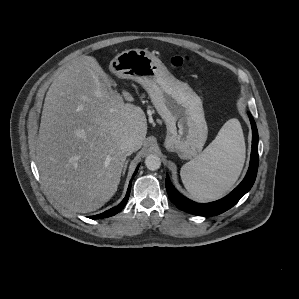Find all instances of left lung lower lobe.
<instances>
[{
	"label": "left lung lower lobe",
	"mask_w": 299,
	"mask_h": 299,
	"mask_svg": "<svg viewBox=\"0 0 299 299\" xmlns=\"http://www.w3.org/2000/svg\"><path fill=\"white\" fill-rule=\"evenodd\" d=\"M252 126V151L250 166L243 181L226 197L215 202L199 204L187 199L180 194L170 182L169 176H166V190L169 199L180 209L185 212L200 216H215L233 207L252 187L256 179L258 170V131L252 115L248 112Z\"/></svg>",
	"instance_id": "0a47b994"
}]
</instances>
